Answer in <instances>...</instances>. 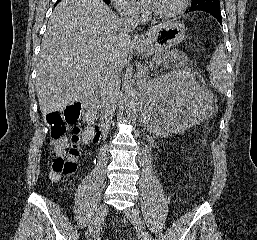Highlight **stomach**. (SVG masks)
<instances>
[{
    "mask_svg": "<svg viewBox=\"0 0 257 240\" xmlns=\"http://www.w3.org/2000/svg\"><path fill=\"white\" fill-rule=\"evenodd\" d=\"M184 38V25L168 21L151 29L148 38L141 44H134L133 48L142 55L162 53L168 48L178 45Z\"/></svg>",
    "mask_w": 257,
    "mask_h": 240,
    "instance_id": "obj_1",
    "label": "stomach"
}]
</instances>
